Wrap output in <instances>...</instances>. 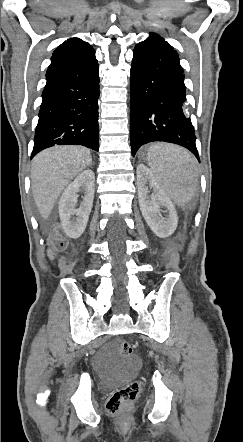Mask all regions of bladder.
Returning <instances> with one entry per match:
<instances>
[{
	"label": "bladder",
	"instance_id": "1",
	"mask_svg": "<svg viewBox=\"0 0 243 442\" xmlns=\"http://www.w3.org/2000/svg\"><path fill=\"white\" fill-rule=\"evenodd\" d=\"M127 358V357H125ZM139 367V361L137 359H121L116 366V378L119 381L132 378L137 373Z\"/></svg>",
	"mask_w": 243,
	"mask_h": 442
}]
</instances>
